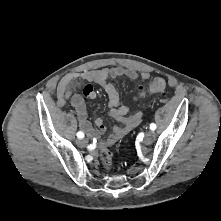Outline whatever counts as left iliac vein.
Masks as SVG:
<instances>
[{"label": "left iliac vein", "instance_id": "1", "mask_svg": "<svg viewBox=\"0 0 221 221\" xmlns=\"http://www.w3.org/2000/svg\"><path fill=\"white\" fill-rule=\"evenodd\" d=\"M155 138H156V134L154 132L150 131L145 135L144 143L149 145V144L153 143Z\"/></svg>", "mask_w": 221, "mask_h": 221}]
</instances>
